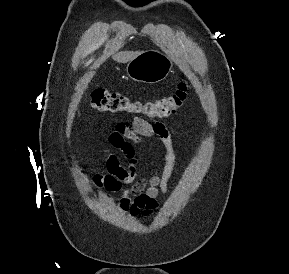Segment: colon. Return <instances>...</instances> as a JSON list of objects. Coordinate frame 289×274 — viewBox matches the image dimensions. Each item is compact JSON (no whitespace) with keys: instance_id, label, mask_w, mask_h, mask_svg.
<instances>
[{"instance_id":"colon-1","label":"colon","mask_w":289,"mask_h":274,"mask_svg":"<svg viewBox=\"0 0 289 274\" xmlns=\"http://www.w3.org/2000/svg\"><path fill=\"white\" fill-rule=\"evenodd\" d=\"M188 97V85L181 81L176 91L165 98L140 102L108 89H96L91 94L92 107L99 111L142 114L148 118H164L174 114Z\"/></svg>"}]
</instances>
